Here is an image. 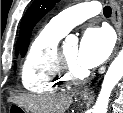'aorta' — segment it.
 Wrapping results in <instances>:
<instances>
[{
  "label": "aorta",
  "mask_w": 123,
  "mask_h": 113,
  "mask_svg": "<svg viewBox=\"0 0 123 113\" xmlns=\"http://www.w3.org/2000/svg\"><path fill=\"white\" fill-rule=\"evenodd\" d=\"M66 41L76 42L77 38L73 35H70L66 38ZM122 77H123V48L121 49L117 57L113 60V62L111 63L105 74L100 93L98 95L95 105L93 106L92 110L93 113H107L111 92Z\"/></svg>",
  "instance_id": "obj_1"
}]
</instances>
